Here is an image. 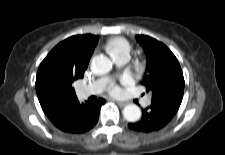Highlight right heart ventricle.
I'll return each mask as SVG.
<instances>
[{"label":"right heart ventricle","instance_id":"obj_1","mask_svg":"<svg viewBox=\"0 0 225 155\" xmlns=\"http://www.w3.org/2000/svg\"><path fill=\"white\" fill-rule=\"evenodd\" d=\"M106 49L112 56H114L121 52H129L130 45L126 39L122 37H114L107 42Z\"/></svg>","mask_w":225,"mask_h":155}]
</instances>
